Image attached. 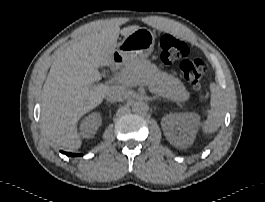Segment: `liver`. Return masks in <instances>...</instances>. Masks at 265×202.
<instances>
[{"label":"liver","mask_w":265,"mask_h":202,"mask_svg":"<svg viewBox=\"0 0 265 202\" xmlns=\"http://www.w3.org/2000/svg\"><path fill=\"white\" fill-rule=\"evenodd\" d=\"M139 28L120 30L116 23L98 20L85 27L80 40L58 52L41 94L42 129L51 141L69 151L81 147L78 121L101 104L109 88L93 85L101 79L98 68L112 63L119 34L126 37Z\"/></svg>","instance_id":"6515ba94"}]
</instances>
